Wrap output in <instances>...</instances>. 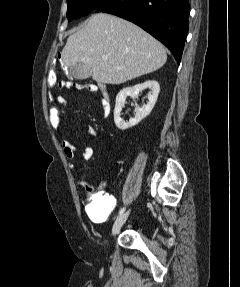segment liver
Returning a JSON list of instances; mask_svg holds the SVG:
<instances>
[{"instance_id":"1","label":"liver","mask_w":240,"mask_h":287,"mask_svg":"<svg viewBox=\"0 0 240 287\" xmlns=\"http://www.w3.org/2000/svg\"><path fill=\"white\" fill-rule=\"evenodd\" d=\"M108 59L103 60L102 56ZM167 55L162 44L137 25L99 13L70 35L62 50L61 63L87 65L98 83L121 84L162 67Z\"/></svg>"}]
</instances>
